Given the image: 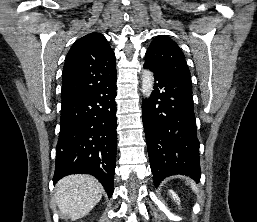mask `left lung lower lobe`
I'll use <instances>...</instances> for the list:
<instances>
[{"label": "left lung lower lobe", "mask_w": 257, "mask_h": 222, "mask_svg": "<svg viewBox=\"0 0 257 222\" xmlns=\"http://www.w3.org/2000/svg\"><path fill=\"white\" fill-rule=\"evenodd\" d=\"M154 73V90L143 102L142 116L151 170L156 186L171 175L190 176L201 170L193 108L192 83L145 62Z\"/></svg>", "instance_id": "obj_1"}]
</instances>
